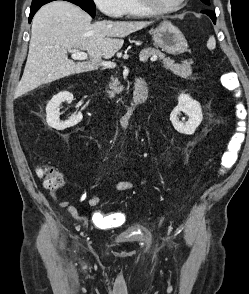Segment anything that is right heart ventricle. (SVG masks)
<instances>
[{"label":"right heart ventricle","instance_id":"e07e8e85","mask_svg":"<svg viewBox=\"0 0 249 294\" xmlns=\"http://www.w3.org/2000/svg\"><path fill=\"white\" fill-rule=\"evenodd\" d=\"M149 15L139 4L138 0H123L121 16L144 17Z\"/></svg>","mask_w":249,"mask_h":294}]
</instances>
